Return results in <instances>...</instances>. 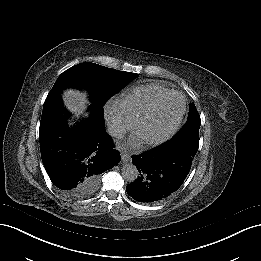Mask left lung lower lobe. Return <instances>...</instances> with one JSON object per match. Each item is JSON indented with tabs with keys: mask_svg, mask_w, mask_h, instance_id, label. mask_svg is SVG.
Masks as SVG:
<instances>
[{
	"mask_svg": "<svg viewBox=\"0 0 261 261\" xmlns=\"http://www.w3.org/2000/svg\"><path fill=\"white\" fill-rule=\"evenodd\" d=\"M197 150L198 147L173 138L155 149L132 156L140 175L127 185V193L143 203L164 201L184 182Z\"/></svg>",
	"mask_w": 261,
	"mask_h": 261,
	"instance_id": "left-lung-lower-lobe-1",
	"label": "left lung lower lobe"
}]
</instances>
